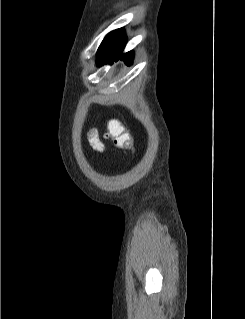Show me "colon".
I'll use <instances>...</instances> for the list:
<instances>
[{
  "label": "colon",
  "instance_id": "obj_1",
  "mask_svg": "<svg viewBox=\"0 0 245 319\" xmlns=\"http://www.w3.org/2000/svg\"><path fill=\"white\" fill-rule=\"evenodd\" d=\"M105 136L110 138L114 147L119 150L133 149V142L129 131L117 121L108 123Z\"/></svg>",
  "mask_w": 245,
  "mask_h": 319
}]
</instances>
